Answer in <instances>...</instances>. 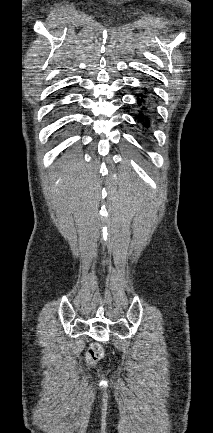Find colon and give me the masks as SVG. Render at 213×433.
<instances>
[{
	"label": "colon",
	"mask_w": 213,
	"mask_h": 433,
	"mask_svg": "<svg viewBox=\"0 0 213 433\" xmlns=\"http://www.w3.org/2000/svg\"><path fill=\"white\" fill-rule=\"evenodd\" d=\"M104 350L103 347L95 343L90 346L86 353V361L89 365H95L98 361H100L103 358Z\"/></svg>",
	"instance_id": "obj_1"
}]
</instances>
